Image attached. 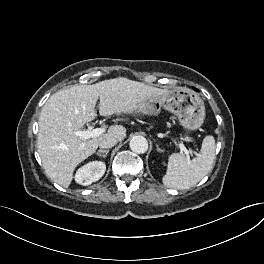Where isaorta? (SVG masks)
<instances>
[{
	"instance_id": "obj_1",
	"label": "aorta",
	"mask_w": 264,
	"mask_h": 264,
	"mask_svg": "<svg viewBox=\"0 0 264 264\" xmlns=\"http://www.w3.org/2000/svg\"><path fill=\"white\" fill-rule=\"evenodd\" d=\"M130 149L138 154H143L148 150V142L143 136H135L130 140Z\"/></svg>"
}]
</instances>
